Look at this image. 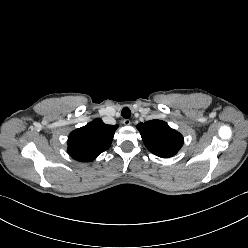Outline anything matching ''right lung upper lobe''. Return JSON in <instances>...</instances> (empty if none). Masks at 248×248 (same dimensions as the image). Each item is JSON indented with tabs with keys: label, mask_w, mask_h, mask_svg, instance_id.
Segmentation results:
<instances>
[{
	"label": "right lung upper lobe",
	"mask_w": 248,
	"mask_h": 248,
	"mask_svg": "<svg viewBox=\"0 0 248 248\" xmlns=\"http://www.w3.org/2000/svg\"><path fill=\"white\" fill-rule=\"evenodd\" d=\"M118 125H107L95 119L87 125L72 131L68 137V153L78 161H92L107 150Z\"/></svg>",
	"instance_id": "cb5924a9"
}]
</instances>
